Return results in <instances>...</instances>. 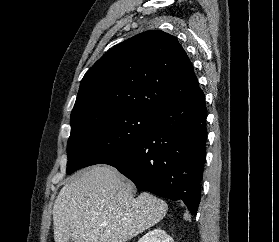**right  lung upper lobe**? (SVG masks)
<instances>
[{
    "label": "right lung upper lobe",
    "mask_w": 279,
    "mask_h": 242,
    "mask_svg": "<svg viewBox=\"0 0 279 242\" xmlns=\"http://www.w3.org/2000/svg\"><path fill=\"white\" fill-rule=\"evenodd\" d=\"M202 94L178 40L152 30L116 45L87 71L71 119L120 109L157 113Z\"/></svg>",
    "instance_id": "right-lung-upper-lobe-1"
}]
</instances>
